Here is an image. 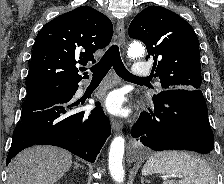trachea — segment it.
<instances>
[{
  "label": "trachea",
  "instance_id": "obj_1",
  "mask_svg": "<svg viewBox=\"0 0 224 184\" xmlns=\"http://www.w3.org/2000/svg\"><path fill=\"white\" fill-rule=\"evenodd\" d=\"M113 66L115 72L124 80L127 81H146L147 78H139L133 76L124 66L119 48L117 45H111L109 49L105 52L101 60L94 66L90 68L93 73V79H103L110 68Z\"/></svg>",
  "mask_w": 224,
  "mask_h": 184
}]
</instances>
